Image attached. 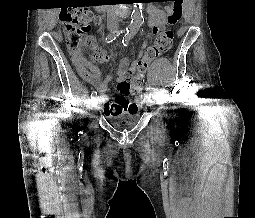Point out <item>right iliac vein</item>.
Listing matches in <instances>:
<instances>
[{"mask_svg": "<svg viewBox=\"0 0 255 218\" xmlns=\"http://www.w3.org/2000/svg\"><path fill=\"white\" fill-rule=\"evenodd\" d=\"M98 102V98L95 96L93 99H92V104L93 105H96Z\"/></svg>", "mask_w": 255, "mask_h": 218, "instance_id": "1", "label": "right iliac vein"}]
</instances>
